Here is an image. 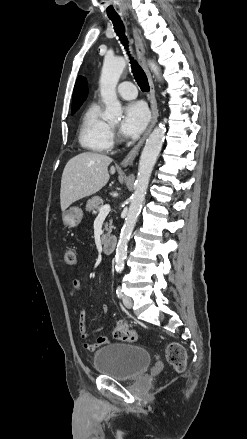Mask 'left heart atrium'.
<instances>
[{
  "mask_svg": "<svg viewBox=\"0 0 247 439\" xmlns=\"http://www.w3.org/2000/svg\"><path fill=\"white\" fill-rule=\"evenodd\" d=\"M149 111L142 102H132L124 109V116L120 126L125 137L135 138L146 128L149 122Z\"/></svg>",
  "mask_w": 247,
  "mask_h": 439,
  "instance_id": "obj_1",
  "label": "left heart atrium"
}]
</instances>
